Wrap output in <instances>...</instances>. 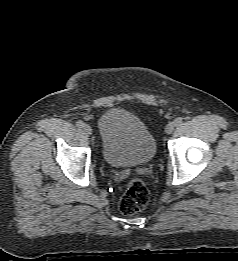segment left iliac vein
I'll use <instances>...</instances> for the list:
<instances>
[{"mask_svg": "<svg viewBox=\"0 0 238 261\" xmlns=\"http://www.w3.org/2000/svg\"><path fill=\"white\" fill-rule=\"evenodd\" d=\"M175 126H176V125H175L174 122L169 123V124L166 126V128H165V132H166L167 134H171V133L174 131Z\"/></svg>", "mask_w": 238, "mask_h": 261, "instance_id": "obj_1", "label": "left iliac vein"}]
</instances>
